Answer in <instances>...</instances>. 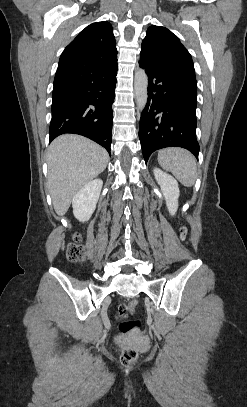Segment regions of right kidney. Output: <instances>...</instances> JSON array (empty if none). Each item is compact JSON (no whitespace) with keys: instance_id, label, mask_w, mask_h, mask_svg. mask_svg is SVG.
I'll return each instance as SVG.
<instances>
[{"instance_id":"right-kidney-1","label":"right kidney","mask_w":247,"mask_h":407,"mask_svg":"<svg viewBox=\"0 0 247 407\" xmlns=\"http://www.w3.org/2000/svg\"><path fill=\"white\" fill-rule=\"evenodd\" d=\"M103 186L101 179H95L83 186L72 200L73 214L80 222L88 221L95 211Z\"/></svg>"}]
</instances>
